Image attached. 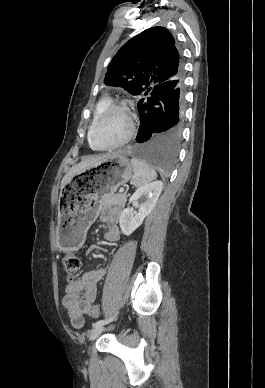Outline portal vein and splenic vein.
I'll list each match as a JSON object with an SVG mask.
<instances>
[{
    "mask_svg": "<svg viewBox=\"0 0 265 388\" xmlns=\"http://www.w3.org/2000/svg\"><path fill=\"white\" fill-rule=\"evenodd\" d=\"M120 192H124V188H120Z\"/></svg>",
    "mask_w": 265,
    "mask_h": 388,
    "instance_id": "1",
    "label": "portal vein and splenic vein"
}]
</instances>
